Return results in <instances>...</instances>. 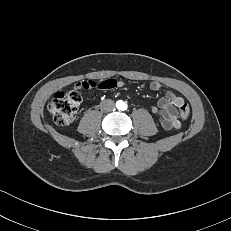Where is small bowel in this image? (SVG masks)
<instances>
[{
	"label": "small bowel",
	"instance_id": "obj_1",
	"mask_svg": "<svg viewBox=\"0 0 231 231\" xmlns=\"http://www.w3.org/2000/svg\"><path fill=\"white\" fill-rule=\"evenodd\" d=\"M94 82L82 81L76 84L77 89H87L91 86H95ZM99 88L104 90L113 89L115 87H122L123 82L115 79H106L99 83ZM162 88V84L158 81H152L149 84V89L152 91H158ZM185 100L171 92L166 91L165 94L159 99L156 106L151 108L153 114H158V122L160 126L166 130L178 129L181 126V122L178 118V109Z\"/></svg>",
	"mask_w": 231,
	"mask_h": 231
}]
</instances>
